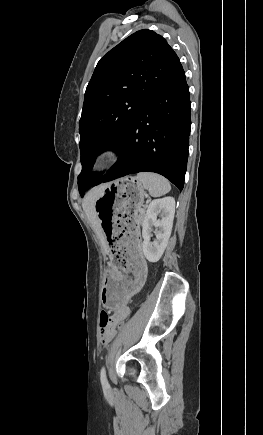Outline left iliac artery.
I'll list each match as a JSON object with an SVG mask.
<instances>
[{
  "label": "left iliac artery",
  "mask_w": 263,
  "mask_h": 435,
  "mask_svg": "<svg viewBox=\"0 0 263 435\" xmlns=\"http://www.w3.org/2000/svg\"><path fill=\"white\" fill-rule=\"evenodd\" d=\"M100 379H101V383L104 387H108V381H107V377H106V370L105 367H102L101 372H100Z\"/></svg>",
  "instance_id": "1"
}]
</instances>
